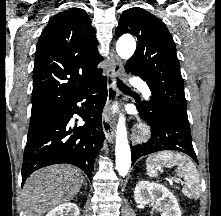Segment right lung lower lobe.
Listing matches in <instances>:
<instances>
[{"instance_id":"obj_1","label":"right lung lower lobe","mask_w":221,"mask_h":216,"mask_svg":"<svg viewBox=\"0 0 221 216\" xmlns=\"http://www.w3.org/2000/svg\"><path fill=\"white\" fill-rule=\"evenodd\" d=\"M100 80V79H99ZM66 100L49 111L44 123L34 133L28 135L22 165V185L37 169L59 163H70L81 168L91 179L94 159L101 149L104 134L101 114L107 99V87L104 80L96 87L97 95L91 89ZM86 99L83 108L77 102ZM73 114L83 117L86 125L69 126Z\"/></svg>"}]
</instances>
